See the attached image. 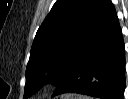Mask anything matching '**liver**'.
Masks as SVG:
<instances>
[{
  "instance_id": "6515ba94",
  "label": "liver",
  "mask_w": 128,
  "mask_h": 99,
  "mask_svg": "<svg viewBox=\"0 0 128 99\" xmlns=\"http://www.w3.org/2000/svg\"><path fill=\"white\" fill-rule=\"evenodd\" d=\"M78 97H79L78 95H73V94L65 95V99H79Z\"/></svg>"
}]
</instances>
